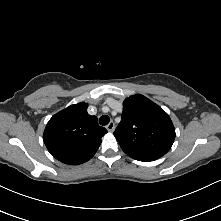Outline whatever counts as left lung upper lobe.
I'll return each instance as SVG.
<instances>
[{
  "label": "left lung upper lobe",
  "instance_id": "5c2ea615",
  "mask_svg": "<svg viewBox=\"0 0 221 221\" xmlns=\"http://www.w3.org/2000/svg\"><path fill=\"white\" fill-rule=\"evenodd\" d=\"M114 136L128 156L153 161L170 150L175 129L161 107L137 94L124 100L121 122Z\"/></svg>",
  "mask_w": 221,
  "mask_h": 221
}]
</instances>
